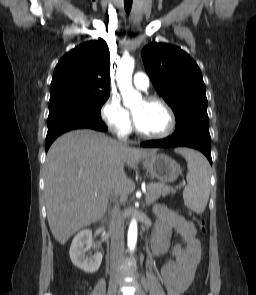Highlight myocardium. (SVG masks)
Masks as SVG:
<instances>
[{"mask_svg": "<svg viewBox=\"0 0 256 295\" xmlns=\"http://www.w3.org/2000/svg\"><path fill=\"white\" fill-rule=\"evenodd\" d=\"M144 101L147 103H157L159 105H161L167 112L168 114V127L166 128L165 131H163L162 133L159 134H149V133H145L143 131H141L138 126L135 123V120L133 118V130L134 132L145 139H150V140H158V139H164L169 137L175 130V126H176V119H175V115L174 112L172 110V108L170 107V105L162 98L157 97V96H148L144 98Z\"/></svg>", "mask_w": 256, "mask_h": 295, "instance_id": "obj_1", "label": "myocardium"}]
</instances>
